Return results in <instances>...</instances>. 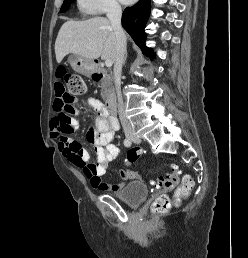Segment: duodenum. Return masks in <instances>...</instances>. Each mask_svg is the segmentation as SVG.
<instances>
[{
	"label": "duodenum",
	"instance_id": "1",
	"mask_svg": "<svg viewBox=\"0 0 248 258\" xmlns=\"http://www.w3.org/2000/svg\"><path fill=\"white\" fill-rule=\"evenodd\" d=\"M105 76L104 71L100 68L98 64H95L93 71H92V77L95 81H98L102 79ZM106 110L108 114L112 117L116 115L117 111V105H116V97L114 94H110L107 98L106 102Z\"/></svg>",
	"mask_w": 248,
	"mask_h": 258
}]
</instances>
